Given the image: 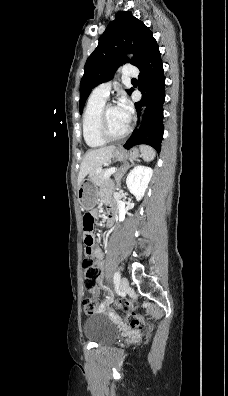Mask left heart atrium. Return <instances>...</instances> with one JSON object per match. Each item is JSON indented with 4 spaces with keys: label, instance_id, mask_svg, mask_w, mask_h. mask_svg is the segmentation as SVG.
Wrapping results in <instances>:
<instances>
[{
    "label": "left heart atrium",
    "instance_id": "left-heart-atrium-1",
    "mask_svg": "<svg viewBox=\"0 0 228 396\" xmlns=\"http://www.w3.org/2000/svg\"><path fill=\"white\" fill-rule=\"evenodd\" d=\"M117 110L120 113L122 119L128 123L132 114V106L128 99L122 97L118 102Z\"/></svg>",
    "mask_w": 228,
    "mask_h": 396
}]
</instances>
